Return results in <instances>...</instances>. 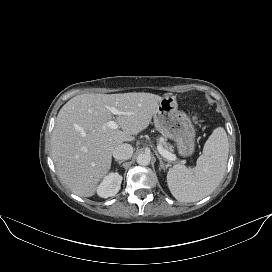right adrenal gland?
<instances>
[{
  "label": "right adrenal gland",
  "mask_w": 272,
  "mask_h": 272,
  "mask_svg": "<svg viewBox=\"0 0 272 272\" xmlns=\"http://www.w3.org/2000/svg\"><path fill=\"white\" fill-rule=\"evenodd\" d=\"M124 161H118V164L120 165L121 163H123Z\"/></svg>",
  "instance_id": "2a0ac1e0"
}]
</instances>
